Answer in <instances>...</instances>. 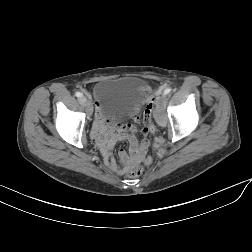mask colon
<instances>
[{
	"instance_id": "5ec220e1",
	"label": "colon",
	"mask_w": 252,
	"mask_h": 252,
	"mask_svg": "<svg viewBox=\"0 0 252 252\" xmlns=\"http://www.w3.org/2000/svg\"><path fill=\"white\" fill-rule=\"evenodd\" d=\"M153 104H154V101L152 99H150L148 101L146 109L144 111L143 120L146 125H152V115L151 114H152ZM143 171H144L143 166L137 165V166L130 168L127 172V175L131 178H136V177H139L143 173Z\"/></svg>"
}]
</instances>
